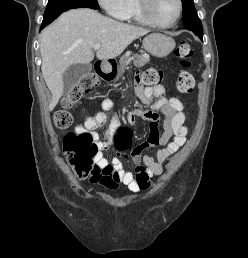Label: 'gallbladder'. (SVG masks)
<instances>
[{
    "label": "gallbladder",
    "instance_id": "1",
    "mask_svg": "<svg viewBox=\"0 0 248 258\" xmlns=\"http://www.w3.org/2000/svg\"><path fill=\"white\" fill-rule=\"evenodd\" d=\"M92 70V65L87 64H72L63 74L64 94L67 95L78 81Z\"/></svg>",
    "mask_w": 248,
    "mask_h": 258
}]
</instances>
